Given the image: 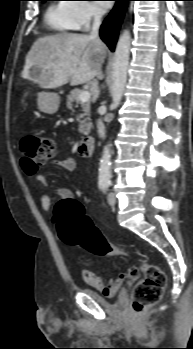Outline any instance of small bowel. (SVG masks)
Masks as SVG:
<instances>
[{
    "label": "small bowel",
    "instance_id": "c3829d8e",
    "mask_svg": "<svg viewBox=\"0 0 193 349\" xmlns=\"http://www.w3.org/2000/svg\"><path fill=\"white\" fill-rule=\"evenodd\" d=\"M22 167L24 171L29 175L34 177L40 184L45 186L47 180L45 175L38 172V169H32L31 165L25 163V160H21ZM54 164L61 167L66 171H73L76 167V161L72 156H65L61 160H55ZM57 195L62 200H72L73 193L69 188L59 187L56 190ZM41 207L45 212L51 210V197L48 194H43L41 196ZM139 276V271L135 266L130 267L127 271L120 273L116 278L105 281L102 277L96 275L95 273L84 270L83 278L85 282L97 289L102 290L106 294H114L125 280H136Z\"/></svg>",
    "mask_w": 193,
    "mask_h": 349
}]
</instances>
